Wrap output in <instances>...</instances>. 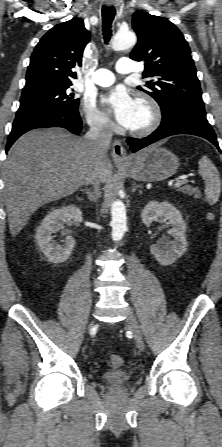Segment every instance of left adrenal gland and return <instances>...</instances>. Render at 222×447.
Wrapping results in <instances>:
<instances>
[{
  "label": "left adrenal gland",
  "mask_w": 222,
  "mask_h": 447,
  "mask_svg": "<svg viewBox=\"0 0 222 447\" xmlns=\"http://www.w3.org/2000/svg\"><path fill=\"white\" fill-rule=\"evenodd\" d=\"M137 188H142L141 185H136V183H133L132 192H135Z\"/></svg>",
  "instance_id": "obj_1"
}]
</instances>
